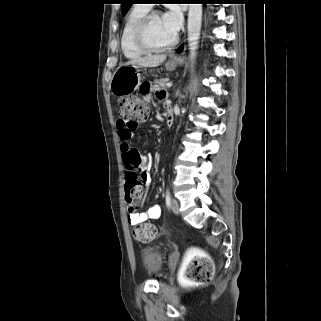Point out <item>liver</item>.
I'll return each instance as SVG.
<instances>
[{
    "mask_svg": "<svg viewBox=\"0 0 321 321\" xmlns=\"http://www.w3.org/2000/svg\"><path fill=\"white\" fill-rule=\"evenodd\" d=\"M166 60V55H152L140 57L128 61L125 65H136L139 67H157Z\"/></svg>",
    "mask_w": 321,
    "mask_h": 321,
    "instance_id": "obj_1",
    "label": "liver"
}]
</instances>
